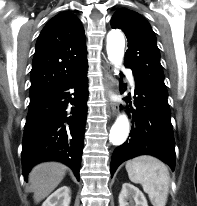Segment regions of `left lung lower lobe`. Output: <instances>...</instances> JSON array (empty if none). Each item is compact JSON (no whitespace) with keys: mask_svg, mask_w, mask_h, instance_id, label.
<instances>
[{"mask_svg":"<svg viewBox=\"0 0 197 206\" xmlns=\"http://www.w3.org/2000/svg\"><path fill=\"white\" fill-rule=\"evenodd\" d=\"M135 79L132 128L129 139L117 147L111 159V177L124 161L138 155H152L175 167V142L167 96L155 91L138 78ZM130 102V97L128 99Z\"/></svg>","mask_w":197,"mask_h":206,"instance_id":"obj_1","label":"left lung lower lobe"}]
</instances>
